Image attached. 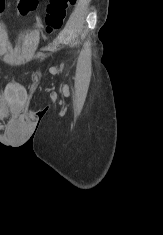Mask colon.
I'll use <instances>...</instances> for the list:
<instances>
[{
    "label": "colon",
    "mask_w": 163,
    "mask_h": 235,
    "mask_svg": "<svg viewBox=\"0 0 163 235\" xmlns=\"http://www.w3.org/2000/svg\"><path fill=\"white\" fill-rule=\"evenodd\" d=\"M5 0H0V11L3 10ZM76 0H49L45 28L47 32L59 29L65 19L67 9L74 5ZM38 6V0H18V10L22 15H27Z\"/></svg>",
    "instance_id": "colon-1"
}]
</instances>
